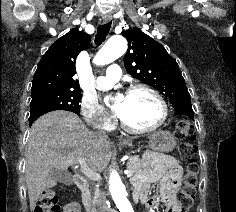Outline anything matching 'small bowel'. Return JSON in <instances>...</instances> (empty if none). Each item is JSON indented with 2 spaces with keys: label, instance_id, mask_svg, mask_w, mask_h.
Returning a JSON list of instances; mask_svg holds the SVG:
<instances>
[{
  "label": "small bowel",
  "instance_id": "1",
  "mask_svg": "<svg viewBox=\"0 0 236 212\" xmlns=\"http://www.w3.org/2000/svg\"><path fill=\"white\" fill-rule=\"evenodd\" d=\"M150 158L145 168L134 178V186L141 193L143 204L147 209H152L163 201L166 204L165 212H179L174 199V188L180 179L182 168L173 157L151 154ZM158 180L162 181L160 192L149 197L150 184ZM63 212H81V209L77 203L71 202L64 205Z\"/></svg>",
  "mask_w": 236,
  "mask_h": 212
}]
</instances>
